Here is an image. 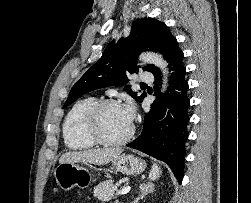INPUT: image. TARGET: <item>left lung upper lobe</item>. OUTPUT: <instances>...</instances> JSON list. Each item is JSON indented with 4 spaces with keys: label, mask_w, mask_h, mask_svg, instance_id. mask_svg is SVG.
Listing matches in <instances>:
<instances>
[{
    "label": "left lung upper lobe",
    "mask_w": 251,
    "mask_h": 203,
    "mask_svg": "<svg viewBox=\"0 0 251 203\" xmlns=\"http://www.w3.org/2000/svg\"><path fill=\"white\" fill-rule=\"evenodd\" d=\"M176 38L170 33L168 27L154 18L136 20L127 38H121L117 43L110 42L104 54L86 73L74 84L64 107L77 100L81 95L98 88L108 86H124L128 83V73H138L136 65L138 55L146 50L159 52L164 57ZM154 65H147L143 70L153 72ZM125 90L138 101L146 96L144 92L137 96L129 85Z\"/></svg>",
    "instance_id": "obj_1"
}]
</instances>
